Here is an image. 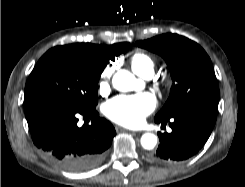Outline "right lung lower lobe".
<instances>
[{"instance_id":"obj_1","label":"right lung lower lobe","mask_w":245,"mask_h":187,"mask_svg":"<svg viewBox=\"0 0 245 187\" xmlns=\"http://www.w3.org/2000/svg\"><path fill=\"white\" fill-rule=\"evenodd\" d=\"M91 125L78 127V116ZM34 144L55 164L80 172L97 166L105 157L116 131L95 110L67 105H46L25 113Z\"/></svg>"}]
</instances>
